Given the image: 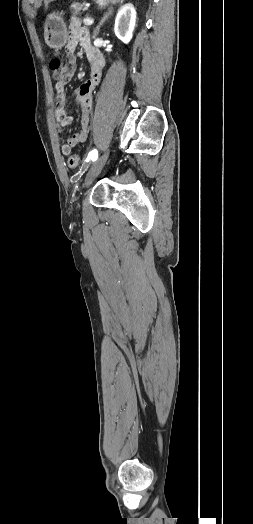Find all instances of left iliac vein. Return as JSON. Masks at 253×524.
Listing matches in <instances>:
<instances>
[{
	"mask_svg": "<svg viewBox=\"0 0 253 524\" xmlns=\"http://www.w3.org/2000/svg\"><path fill=\"white\" fill-rule=\"evenodd\" d=\"M108 155L109 153L105 152L92 164L85 178L86 187L90 186L91 183L95 180V178L99 175L108 158Z\"/></svg>",
	"mask_w": 253,
	"mask_h": 524,
	"instance_id": "1",
	"label": "left iliac vein"
}]
</instances>
